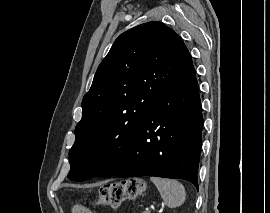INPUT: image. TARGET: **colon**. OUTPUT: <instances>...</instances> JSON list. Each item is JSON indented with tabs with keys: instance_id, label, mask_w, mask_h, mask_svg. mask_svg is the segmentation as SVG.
<instances>
[{
	"instance_id": "1",
	"label": "colon",
	"mask_w": 270,
	"mask_h": 213,
	"mask_svg": "<svg viewBox=\"0 0 270 213\" xmlns=\"http://www.w3.org/2000/svg\"><path fill=\"white\" fill-rule=\"evenodd\" d=\"M146 191V185L142 179L130 178L104 185L98 198L92 206H108L117 208L126 199L141 196ZM71 213H93L91 206L83 203H75L71 207Z\"/></svg>"
}]
</instances>
